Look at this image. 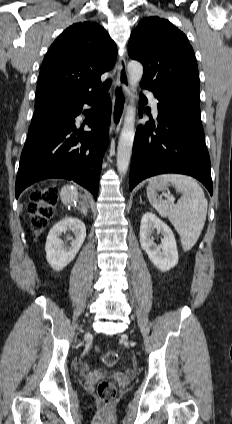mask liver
<instances>
[{"mask_svg":"<svg viewBox=\"0 0 232 424\" xmlns=\"http://www.w3.org/2000/svg\"><path fill=\"white\" fill-rule=\"evenodd\" d=\"M61 201L65 206H74L78 201V191L76 187L64 186L61 189Z\"/></svg>","mask_w":232,"mask_h":424,"instance_id":"1","label":"liver"}]
</instances>
